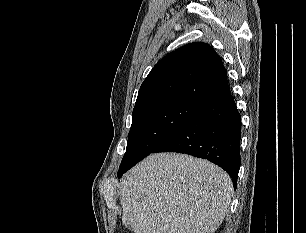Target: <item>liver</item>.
Segmentation results:
<instances>
[{
    "mask_svg": "<svg viewBox=\"0 0 306 233\" xmlns=\"http://www.w3.org/2000/svg\"><path fill=\"white\" fill-rule=\"evenodd\" d=\"M233 184L215 164L186 154H151L121 183L123 224L135 233H214Z\"/></svg>",
    "mask_w": 306,
    "mask_h": 233,
    "instance_id": "1",
    "label": "liver"
}]
</instances>
